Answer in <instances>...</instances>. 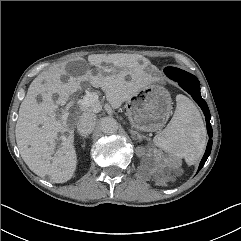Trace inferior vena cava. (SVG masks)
Returning <instances> with one entry per match:
<instances>
[{
	"label": "inferior vena cava",
	"mask_w": 241,
	"mask_h": 241,
	"mask_svg": "<svg viewBox=\"0 0 241 241\" xmlns=\"http://www.w3.org/2000/svg\"><path fill=\"white\" fill-rule=\"evenodd\" d=\"M96 125V115L93 112H83L77 122V130L80 134L92 133Z\"/></svg>",
	"instance_id": "inferior-vena-cava-1"
}]
</instances>
